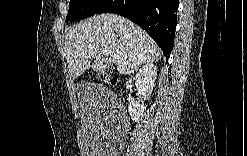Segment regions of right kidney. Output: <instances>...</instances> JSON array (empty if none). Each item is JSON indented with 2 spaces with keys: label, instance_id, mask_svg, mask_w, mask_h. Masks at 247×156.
<instances>
[{
  "label": "right kidney",
  "instance_id": "obj_1",
  "mask_svg": "<svg viewBox=\"0 0 247 156\" xmlns=\"http://www.w3.org/2000/svg\"><path fill=\"white\" fill-rule=\"evenodd\" d=\"M156 78L157 67L153 63L145 64L135 75V86L144 100L150 98ZM128 111L131 119L138 122L143 115L144 108L139 104V102L132 100L128 104Z\"/></svg>",
  "mask_w": 247,
  "mask_h": 156
}]
</instances>
